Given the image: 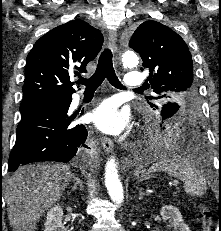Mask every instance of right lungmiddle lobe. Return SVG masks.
<instances>
[{
	"instance_id": "right-lung-middle-lobe-1",
	"label": "right lung middle lobe",
	"mask_w": 221,
	"mask_h": 231,
	"mask_svg": "<svg viewBox=\"0 0 221 231\" xmlns=\"http://www.w3.org/2000/svg\"><path fill=\"white\" fill-rule=\"evenodd\" d=\"M47 100H49V99H47ZM42 101H45V100H40V99H27V100H23L22 103H21V106H20V110L23 109V108H26V107H28L30 105L42 102Z\"/></svg>"
}]
</instances>
